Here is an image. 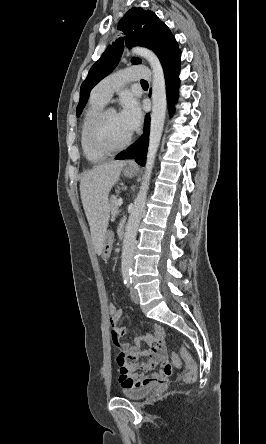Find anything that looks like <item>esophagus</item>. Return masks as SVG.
I'll return each mask as SVG.
<instances>
[{
	"label": "esophagus",
	"mask_w": 266,
	"mask_h": 444,
	"mask_svg": "<svg viewBox=\"0 0 266 444\" xmlns=\"http://www.w3.org/2000/svg\"><path fill=\"white\" fill-rule=\"evenodd\" d=\"M130 166H134V163H130Z\"/></svg>",
	"instance_id": "1"
}]
</instances>
